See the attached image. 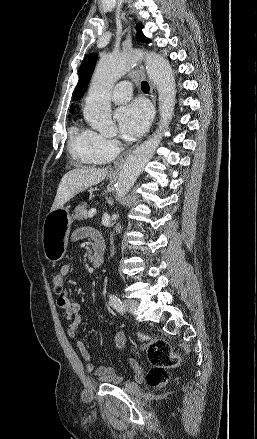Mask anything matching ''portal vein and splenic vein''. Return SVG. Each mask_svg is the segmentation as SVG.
<instances>
[{
  "label": "portal vein and splenic vein",
  "instance_id": "portal-vein-and-splenic-vein-1",
  "mask_svg": "<svg viewBox=\"0 0 257 439\" xmlns=\"http://www.w3.org/2000/svg\"><path fill=\"white\" fill-rule=\"evenodd\" d=\"M96 214V209L92 208L88 211V217H93Z\"/></svg>",
  "mask_w": 257,
  "mask_h": 439
}]
</instances>
